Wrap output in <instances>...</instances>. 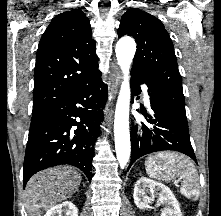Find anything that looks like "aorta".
Segmentation results:
<instances>
[{"label": "aorta", "instance_id": "762f6f07", "mask_svg": "<svg viewBox=\"0 0 221 216\" xmlns=\"http://www.w3.org/2000/svg\"><path fill=\"white\" fill-rule=\"evenodd\" d=\"M136 51V43L131 37H122L116 44V57L123 73L114 120L115 150L118 162L124 168L130 158L129 106L130 84L129 71Z\"/></svg>", "mask_w": 221, "mask_h": 216}]
</instances>
